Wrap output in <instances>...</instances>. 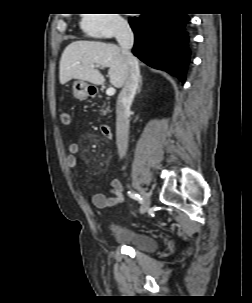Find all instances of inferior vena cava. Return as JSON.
<instances>
[{"label":"inferior vena cava","mask_w":252,"mask_h":303,"mask_svg":"<svg viewBox=\"0 0 252 303\" xmlns=\"http://www.w3.org/2000/svg\"><path fill=\"white\" fill-rule=\"evenodd\" d=\"M116 39L121 48L126 70L125 83L116 105V144L119 157L123 158L128 148L130 106L138 88L140 71L137 59L130 52L134 43V35L127 22L118 23Z\"/></svg>","instance_id":"inferior-vena-cava-1"}]
</instances>
